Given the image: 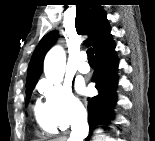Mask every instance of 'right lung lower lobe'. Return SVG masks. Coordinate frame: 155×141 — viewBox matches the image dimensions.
<instances>
[{"label": "right lung lower lobe", "instance_id": "1", "mask_svg": "<svg viewBox=\"0 0 155 141\" xmlns=\"http://www.w3.org/2000/svg\"><path fill=\"white\" fill-rule=\"evenodd\" d=\"M115 46L109 32L93 48L97 68L93 73L92 82L96 83L95 87L99 94L88 99V120L91 132L99 122H109L113 118L112 107L117 99L115 89L118 83L117 70L119 63Z\"/></svg>", "mask_w": 155, "mask_h": 141}]
</instances>
